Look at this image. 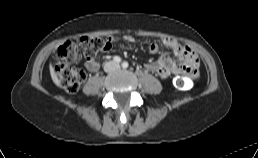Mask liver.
<instances>
[{
	"label": "liver",
	"mask_w": 258,
	"mask_h": 158,
	"mask_svg": "<svg viewBox=\"0 0 258 158\" xmlns=\"http://www.w3.org/2000/svg\"><path fill=\"white\" fill-rule=\"evenodd\" d=\"M50 74H51V78H52L54 84L57 86H60V81H59L52 65H50Z\"/></svg>",
	"instance_id": "liver-1"
}]
</instances>
